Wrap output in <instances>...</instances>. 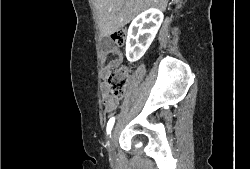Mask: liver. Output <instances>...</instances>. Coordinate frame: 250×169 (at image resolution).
<instances>
[{"label": "liver", "mask_w": 250, "mask_h": 169, "mask_svg": "<svg viewBox=\"0 0 250 169\" xmlns=\"http://www.w3.org/2000/svg\"><path fill=\"white\" fill-rule=\"evenodd\" d=\"M101 36L118 32L147 6L166 10L168 0H92Z\"/></svg>", "instance_id": "obj_1"}]
</instances>
